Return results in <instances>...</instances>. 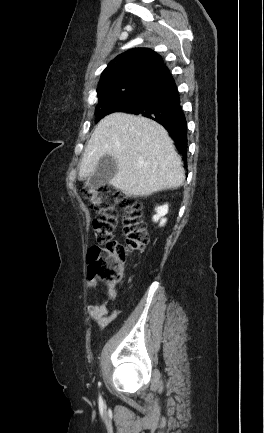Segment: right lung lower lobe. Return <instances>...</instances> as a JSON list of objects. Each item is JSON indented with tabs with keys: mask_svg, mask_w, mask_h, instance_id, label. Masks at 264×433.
Returning a JSON list of instances; mask_svg holds the SVG:
<instances>
[{
	"mask_svg": "<svg viewBox=\"0 0 264 433\" xmlns=\"http://www.w3.org/2000/svg\"><path fill=\"white\" fill-rule=\"evenodd\" d=\"M160 123L175 140L180 153L187 155V122L179 93L168 68L160 67L141 87L126 111Z\"/></svg>",
	"mask_w": 264,
	"mask_h": 433,
	"instance_id": "98d812e1",
	"label": "right lung lower lobe"
}]
</instances>
